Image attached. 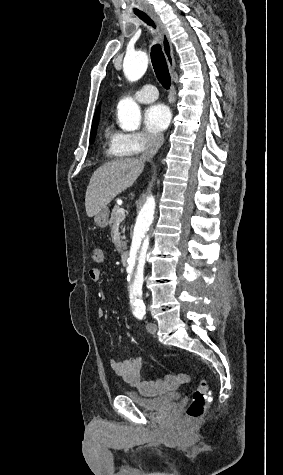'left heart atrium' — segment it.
<instances>
[{
	"label": "left heart atrium",
	"mask_w": 283,
	"mask_h": 475,
	"mask_svg": "<svg viewBox=\"0 0 283 475\" xmlns=\"http://www.w3.org/2000/svg\"><path fill=\"white\" fill-rule=\"evenodd\" d=\"M172 114L169 107L162 103L150 106L144 116L146 127L153 132L165 131L171 123Z\"/></svg>",
	"instance_id": "obj_1"
}]
</instances>
